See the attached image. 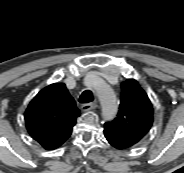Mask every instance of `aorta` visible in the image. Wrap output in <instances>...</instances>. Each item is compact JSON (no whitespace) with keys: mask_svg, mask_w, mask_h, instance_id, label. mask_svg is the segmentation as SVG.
Listing matches in <instances>:
<instances>
[{"mask_svg":"<svg viewBox=\"0 0 184 173\" xmlns=\"http://www.w3.org/2000/svg\"><path fill=\"white\" fill-rule=\"evenodd\" d=\"M90 86L97 92L102 107V117L108 121L114 119L118 111V101L114 91L102 83L97 76H92Z\"/></svg>","mask_w":184,"mask_h":173,"instance_id":"obj_1","label":"aorta"}]
</instances>
